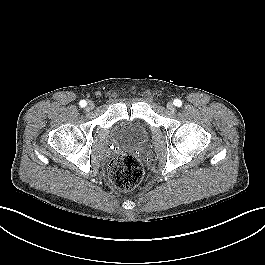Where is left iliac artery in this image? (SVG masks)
Listing matches in <instances>:
<instances>
[{"mask_svg":"<svg viewBox=\"0 0 265 265\" xmlns=\"http://www.w3.org/2000/svg\"><path fill=\"white\" fill-rule=\"evenodd\" d=\"M174 105L180 107L182 105V101L179 99L174 100Z\"/></svg>","mask_w":265,"mask_h":265,"instance_id":"44dca946","label":"left iliac artery"}]
</instances>
